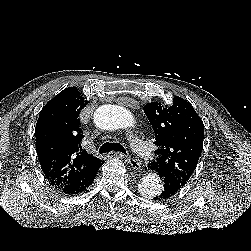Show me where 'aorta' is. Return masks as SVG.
<instances>
[{
	"instance_id": "aorta-1",
	"label": "aorta",
	"mask_w": 251,
	"mask_h": 251,
	"mask_svg": "<svg viewBox=\"0 0 251 251\" xmlns=\"http://www.w3.org/2000/svg\"><path fill=\"white\" fill-rule=\"evenodd\" d=\"M94 122L104 130L129 129L135 124L132 113L117 105L100 106L94 113ZM161 187L160 178L154 173H147L138 184V191L144 198H153Z\"/></svg>"
}]
</instances>
